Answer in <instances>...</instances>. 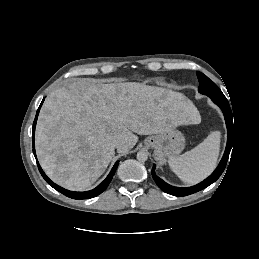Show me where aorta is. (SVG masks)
I'll list each match as a JSON object with an SVG mask.
<instances>
[{"mask_svg":"<svg viewBox=\"0 0 259 259\" xmlns=\"http://www.w3.org/2000/svg\"><path fill=\"white\" fill-rule=\"evenodd\" d=\"M148 159V154L145 151H139L137 153V160L140 162H145Z\"/></svg>","mask_w":259,"mask_h":259,"instance_id":"1","label":"aorta"}]
</instances>
